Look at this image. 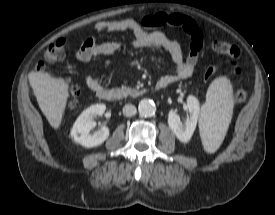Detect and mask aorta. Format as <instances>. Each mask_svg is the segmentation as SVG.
I'll list each match as a JSON object with an SVG mask.
<instances>
[{
	"mask_svg": "<svg viewBox=\"0 0 275 215\" xmlns=\"http://www.w3.org/2000/svg\"><path fill=\"white\" fill-rule=\"evenodd\" d=\"M138 111L141 116L151 117L156 112V106L153 101L143 99L139 102Z\"/></svg>",
	"mask_w": 275,
	"mask_h": 215,
	"instance_id": "762f6f07",
	"label": "aorta"
}]
</instances>
